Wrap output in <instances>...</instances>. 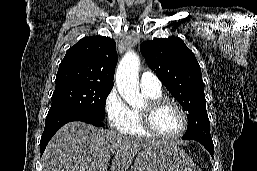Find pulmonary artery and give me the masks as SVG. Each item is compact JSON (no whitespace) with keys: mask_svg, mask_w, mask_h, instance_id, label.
<instances>
[{"mask_svg":"<svg viewBox=\"0 0 257 171\" xmlns=\"http://www.w3.org/2000/svg\"><path fill=\"white\" fill-rule=\"evenodd\" d=\"M140 86L144 90L160 91L161 82L158 77L150 71L142 73L140 77Z\"/></svg>","mask_w":257,"mask_h":171,"instance_id":"1","label":"pulmonary artery"}]
</instances>
